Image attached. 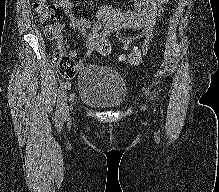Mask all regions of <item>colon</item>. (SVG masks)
<instances>
[{"instance_id":"5ec220e1","label":"colon","mask_w":219,"mask_h":192,"mask_svg":"<svg viewBox=\"0 0 219 192\" xmlns=\"http://www.w3.org/2000/svg\"><path fill=\"white\" fill-rule=\"evenodd\" d=\"M34 11L44 34L50 40L56 42L54 51V62L59 73L67 79L76 74V68L64 50L63 26L60 13L49 0H37ZM96 51L101 55L112 54V45L106 38L96 40ZM120 59L128 65H138L142 61V54L136 49H127L121 54Z\"/></svg>"}]
</instances>
